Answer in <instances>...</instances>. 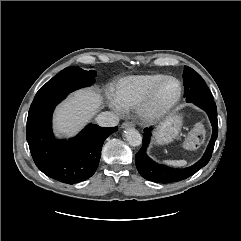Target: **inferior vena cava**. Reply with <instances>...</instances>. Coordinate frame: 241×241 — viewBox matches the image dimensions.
Segmentation results:
<instances>
[{
  "instance_id": "inferior-vena-cava-1",
  "label": "inferior vena cava",
  "mask_w": 241,
  "mask_h": 241,
  "mask_svg": "<svg viewBox=\"0 0 241 241\" xmlns=\"http://www.w3.org/2000/svg\"><path fill=\"white\" fill-rule=\"evenodd\" d=\"M96 123L103 127H113L119 123V118L113 112H102L96 117Z\"/></svg>"
}]
</instances>
